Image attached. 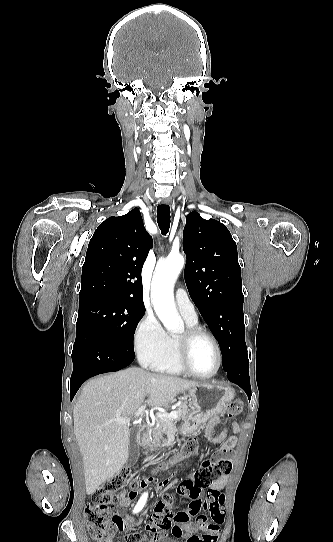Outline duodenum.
I'll return each mask as SVG.
<instances>
[{"label":"duodenum","instance_id":"1","mask_svg":"<svg viewBox=\"0 0 333 542\" xmlns=\"http://www.w3.org/2000/svg\"><path fill=\"white\" fill-rule=\"evenodd\" d=\"M138 442H139V445H141V446H145V445H146V443H147V437H146L145 431H142V432L139 434Z\"/></svg>","mask_w":333,"mask_h":542}]
</instances>
